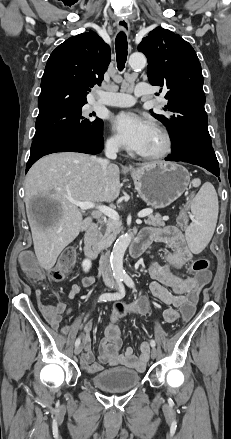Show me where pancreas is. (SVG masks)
Instances as JSON below:
<instances>
[{
  "label": "pancreas",
  "mask_w": 231,
  "mask_h": 439,
  "mask_svg": "<svg viewBox=\"0 0 231 439\" xmlns=\"http://www.w3.org/2000/svg\"><path fill=\"white\" fill-rule=\"evenodd\" d=\"M145 223L150 226H164L165 222L161 215H149ZM122 230V223L118 220H107L105 225L101 226L97 233V245L100 249L109 247Z\"/></svg>",
  "instance_id": "pancreas-1"
}]
</instances>
